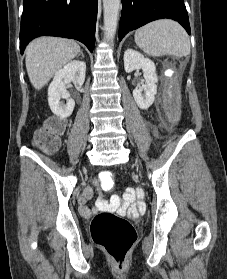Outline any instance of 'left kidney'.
I'll return each instance as SVG.
<instances>
[{
    "label": "left kidney",
    "instance_id": "5707ae66",
    "mask_svg": "<svg viewBox=\"0 0 227 279\" xmlns=\"http://www.w3.org/2000/svg\"><path fill=\"white\" fill-rule=\"evenodd\" d=\"M124 68L127 73L135 69L143 70L145 84L133 90V97L140 109H148L153 104L157 93L158 77L155 64L138 51L127 49L124 52ZM143 91L144 94H142Z\"/></svg>",
    "mask_w": 227,
    "mask_h": 279
}]
</instances>
